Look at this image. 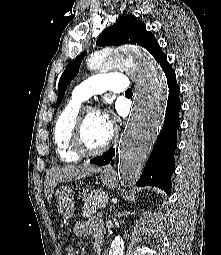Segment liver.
<instances>
[{"instance_id": "obj_1", "label": "liver", "mask_w": 221, "mask_h": 255, "mask_svg": "<svg viewBox=\"0 0 221 255\" xmlns=\"http://www.w3.org/2000/svg\"><path fill=\"white\" fill-rule=\"evenodd\" d=\"M101 172L100 167L90 165L88 163L83 166H65L51 168L45 178L44 193L47 200H51L54 188L61 182H72L73 180H79L86 178L94 173Z\"/></svg>"}]
</instances>
